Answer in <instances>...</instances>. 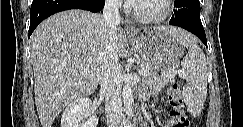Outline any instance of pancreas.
Segmentation results:
<instances>
[{"label": "pancreas", "instance_id": "obj_1", "mask_svg": "<svg viewBox=\"0 0 243 127\" xmlns=\"http://www.w3.org/2000/svg\"><path fill=\"white\" fill-rule=\"evenodd\" d=\"M141 68L145 69L146 72L143 78L149 84L150 89L154 92L160 91L165 85L174 81V78L170 73H163L159 75L155 69H153L149 64L146 62H142Z\"/></svg>", "mask_w": 243, "mask_h": 127}]
</instances>
